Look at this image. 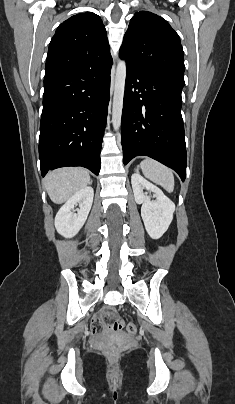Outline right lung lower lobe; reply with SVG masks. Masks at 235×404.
Masks as SVG:
<instances>
[{"mask_svg": "<svg viewBox=\"0 0 235 404\" xmlns=\"http://www.w3.org/2000/svg\"><path fill=\"white\" fill-rule=\"evenodd\" d=\"M111 63L44 79L41 174L83 166L98 175L110 99Z\"/></svg>", "mask_w": 235, "mask_h": 404, "instance_id": "98d812e1", "label": "right lung lower lobe"}]
</instances>
